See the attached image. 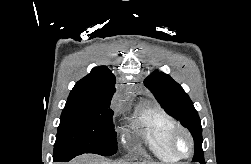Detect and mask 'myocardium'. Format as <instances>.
<instances>
[{"label": "myocardium", "mask_w": 251, "mask_h": 164, "mask_svg": "<svg viewBox=\"0 0 251 164\" xmlns=\"http://www.w3.org/2000/svg\"><path fill=\"white\" fill-rule=\"evenodd\" d=\"M185 139L188 145L186 152H180L177 149V144L180 139ZM167 147L170 154L176 159H186L189 158L194 150V141L191 133L183 127L182 125H178L170 132L167 140Z\"/></svg>", "instance_id": "1"}]
</instances>
